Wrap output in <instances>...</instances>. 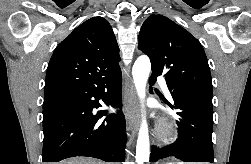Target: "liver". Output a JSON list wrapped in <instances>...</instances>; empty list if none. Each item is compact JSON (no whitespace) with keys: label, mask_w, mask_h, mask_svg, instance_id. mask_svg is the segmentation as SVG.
I'll return each mask as SVG.
<instances>
[{"label":"liver","mask_w":251,"mask_h":164,"mask_svg":"<svg viewBox=\"0 0 251 164\" xmlns=\"http://www.w3.org/2000/svg\"><path fill=\"white\" fill-rule=\"evenodd\" d=\"M59 164H104V163L90 158L76 157L63 161Z\"/></svg>","instance_id":"obj_1"}]
</instances>
